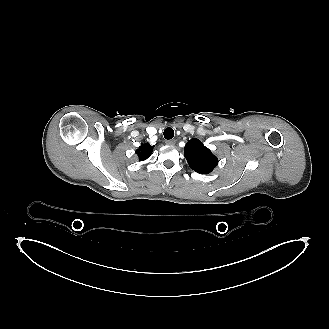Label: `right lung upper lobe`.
Listing matches in <instances>:
<instances>
[{"label":"right lung upper lobe","mask_w":329,"mask_h":329,"mask_svg":"<svg viewBox=\"0 0 329 329\" xmlns=\"http://www.w3.org/2000/svg\"><path fill=\"white\" fill-rule=\"evenodd\" d=\"M153 146H151L149 143L141 144L138 150H136V153L141 160H146L150 154L152 153Z\"/></svg>","instance_id":"right-lung-upper-lobe-1"}]
</instances>
